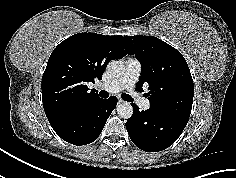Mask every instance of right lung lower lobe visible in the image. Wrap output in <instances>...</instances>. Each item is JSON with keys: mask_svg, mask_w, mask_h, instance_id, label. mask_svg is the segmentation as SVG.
I'll use <instances>...</instances> for the list:
<instances>
[{"mask_svg": "<svg viewBox=\"0 0 236 178\" xmlns=\"http://www.w3.org/2000/svg\"><path fill=\"white\" fill-rule=\"evenodd\" d=\"M116 105L117 99L114 96L99 99L83 112L51 126L63 140L74 145H86L98 138Z\"/></svg>", "mask_w": 236, "mask_h": 178, "instance_id": "1", "label": "right lung lower lobe"}]
</instances>
